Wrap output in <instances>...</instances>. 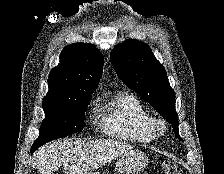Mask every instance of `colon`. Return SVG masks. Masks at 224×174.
Listing matches in <instances>:
<instances>
[{
    "label": "colon",
    "mask_w": 224,
    "mask_h": 174,
    "mask_svg": "<svg viewBox=\"0 0 224 174\" xmlns=\"http://www.w3.org/2000/svg\"><path fill=\"white\" fill-rule=\"evenodd\" d=\"M163 174H182V171L177 164L167 161L163 167Z\"/></svg>",
    "instance_id": "1"
}]
</instances>
